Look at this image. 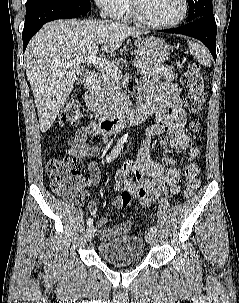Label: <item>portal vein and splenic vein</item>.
I'll use <instances>...</instances> for the list:
<instances>
[{
  "label": "portal vein and splenic vein",
  "mask_w": 239,
  "mask_h": 303,
  "mask_svg": "<svg viewBox=\"0 0 239 303\" xmlns=\"http://www.w3.org/2000/svg\"><path fill=\"white\" fill-rule=\"evenodd\" d=\"M98 47L97 46H92L90 48V52L89 55L87 57H81L79 59H77V63H87V64H93V65H97L103 69H105L107 72H109L115 79H120V77L122 76L121 71L119 70V68L114 64L111 63L110 61H107L106 59L103 58H99L96 56ZM133 65L135 67H143L144 63H142L141 61H133Z\"/></svg>",
  "instance_id": "obj_1"
}]
</instances>
